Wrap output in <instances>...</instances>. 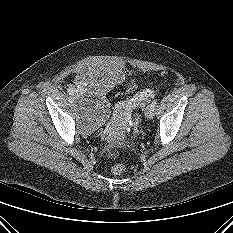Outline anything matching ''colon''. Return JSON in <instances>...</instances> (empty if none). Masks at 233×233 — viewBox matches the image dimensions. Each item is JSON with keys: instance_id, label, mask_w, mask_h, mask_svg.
Instances as JSON below:
<instances>
[{"instance_id": "5ec220e1", "label": "colon", "mask_w": 233, "mask_h": 233, "mask_svg": "<svg viewBox=\"0 0 233 233\" xmlns=\"http://www.w3.org/2000/svg\"><path fill=\"white\" fill-rule=\"evenodd\" d=\"M135 122H133L132 124H134ZM108 156L109 157H112L114 158L115 157V154L111 153V152H108ZM125 165L122 164V163H116L114 164L112 167H111V172L114 174V175H120L122 173L125 172Z\"/></svg>"}]
</instances>
